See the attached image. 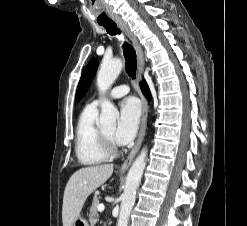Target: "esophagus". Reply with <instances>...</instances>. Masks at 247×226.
<instances>
[{
  "label": "esophagus",
  "instance_id": "1",
  "mask_svg": "<svg viewBox=\"0 0 247 226\" xmlns=\"http://www.w3.org/2000/svg\"><path fill=\"white\" fill-rule=\"evenodd\" d=\"M116 23L119 27H121L126 35L130 38V40L133 43V46L136 51L137 55V62H138V78L139 80L142 79L143 75V70L145 66V61H144V53L141 45L139 44L136 36L134 33L131 31L129 25L122 19H116ZM140 98H141V103H142V116H141V124H140V129H139V134L137 137V140L135 142L134 147L130 151L129 155L123 162V164L120 167V172H125L129 166L131 165L134 157L136 156L137 152L139 151L142 141L144 139L145 133H146V127H147V117H148V111H149V105L148 102L145 98V96L140 92Z\"/></svg>",
  "mask_w": 247,
  "mask_h": 226
}]
</instances>
